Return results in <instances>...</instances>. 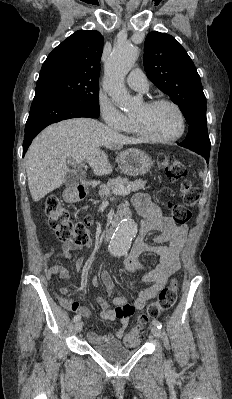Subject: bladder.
<instances>
[{
	"mask_svg": "<svg viewBox=\"0 0 232 399\" xmlns=\"http://www.w3.org/2000/svg\"><path fill=\"white\" fill-rule=\"evenodd\" d=\"M93 350L110 362H122L130 358L134 353V349H130L118 340H110L99 345L93 346Z\"/></svg>",
	"mask_w": 232,
	"mask_h": 399,
	"instance_id": "1",
	"label": "bladder"
}]
</instances>
